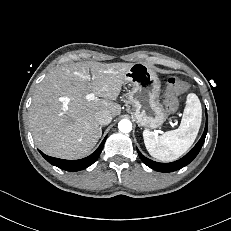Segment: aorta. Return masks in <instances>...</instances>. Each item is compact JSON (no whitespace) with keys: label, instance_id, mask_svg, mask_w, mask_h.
I'll return each mask as SVG.
<instances>
[{"label":"aorta","instance_id":"aorta-1","mask_svg":"<svg viewBox=\"0 0 231 231\" xmlns=\"http://www.w3.org/2000/svg\"><path fill=\"white\" fill-rule=\"evenodd\" d=\"M118 128L122 133H129L132 130V123L127 119H123L118 123Z\"/></svg>","mask_w":231,"mask_h":231}]
</instances>
